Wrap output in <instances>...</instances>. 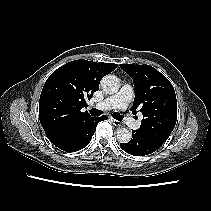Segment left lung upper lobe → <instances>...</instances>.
<instances>
[{"instance_id": "5c2ea615", "label": "left lung upper lobe", "mask_w": 211, "mask_h": 211, "mask_svg": "<svg viewBox=\"0 0 211 211\" xmlns=\"http://www.w3.org/2000/svg\"><path fill=\"white\" fill-rule=\"evenodd\" d=\"M134 82L133 114L139 110L143 120L137 133L162 145L173 131L177 120V100L169 80L150 65L121 64Z\"/></svg>"}]
</instances>
